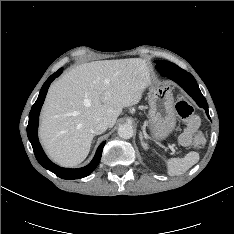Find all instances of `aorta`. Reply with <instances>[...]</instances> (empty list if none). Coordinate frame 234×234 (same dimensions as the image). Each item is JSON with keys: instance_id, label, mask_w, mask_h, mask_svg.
<instances>
[{"instance_id": "1", "label": "aorta", "mask_w": 234, "mask_h": 234, "mask_svg": "<svg viewBox=\"0 0 234 234\" xmlns=\"http://www.w3.org/2000/svg\"><path fill=\"white\" fill-rule=\"evenodd\" d=\"M133 133V127L130 124H122L118 128V135L123 139H130Z\"/></svg>"}]
</instances>
